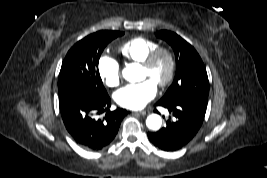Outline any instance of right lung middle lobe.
Here are the masks:
<instances>
[{
	"mask_svg": "<svg viewBox=\"0 0 267 178\" xmlns=\"http://www.w3.org/2000/svg\"><path fill=\"white\" fill-rule=\"evenodd\" d=\"M119 31H98L78 41L67 53L58 78L59 94L70 90H85L107 95L99 75V58L105 46Z\"/></svg>",
	"mask_w": 267,
	"mask_h": 178,
	"instance_id": "obj_1",
	"label": "right lung middle lobe"
}]
</instances>
